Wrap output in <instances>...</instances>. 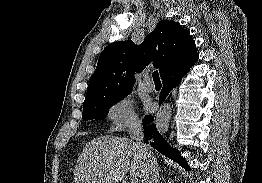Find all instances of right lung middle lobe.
Returning a JSON list of instances; mask_svg holds the SVG:
<instances>
[{"label": "right lung middle lobe", "mask_w": 262, "mask_h": 183, "mask_svg": "<svg viewBox=\"0 0 262 183\" xmlns=\"http://www.w3.org/2000/svg\"><path fill=\"white\" fill-rule=\"evenodd\" d=\"M132 90L102 98L99 100L91 101L88 103H84L83 105V113H82V118L84 120H102L105 119L109 112V108L116 104L118 101L122 100L124 97H126L128 94L131 93Z\"/></svg>", "instance_id": "right-lung-middle-lobe-1"}]
</instances>
